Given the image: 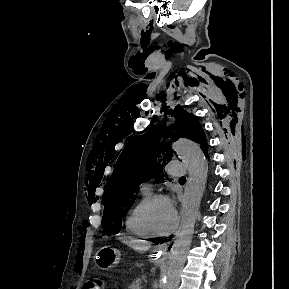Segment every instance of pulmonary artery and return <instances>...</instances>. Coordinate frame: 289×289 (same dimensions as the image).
Masks as SVG:
<instances>
[{"instance_id": "1", "label": "pulmonary artery", "mask_w": 289, "mask_h": 289, "mask_svg": "<svg viewBox=\"0 0 289 289\" xmlns=\"http://www.w3.org/2000/svg\"><path fill=\"white\" fill-rule=\"evenodd\" d=\"M166 172L172 177H182L185 174L186 166L182 161H170L166 165ZM152 185L148 182L143 183L141 191L150 192Z\"/></svg>"}]
</instances>
